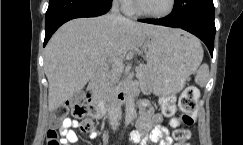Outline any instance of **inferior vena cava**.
Instances as JSON below:
<instances>
[{
  "mask_svg": "<svg viewBox=\"0 0 243 145\" xmlns=\"http://www.w3.org/2000/svg\"><path fill=\"white\" fill-rule=\"evenodd\" d=\"M111 15L115 16L118 20H126L125 17H123L120 13H119V3L117 0H115L113 2V6L111 9ZM121 113V107L120 105H118L117 103L113 102L111 103L110 107H109V114H120Z\"/></svg>",
  "mask_w": 243,
  "mask_h": 145,
  "instance_id": "inferior-vena-cava-1",
  "label": "inferior vena cava"
}]
</instances>
